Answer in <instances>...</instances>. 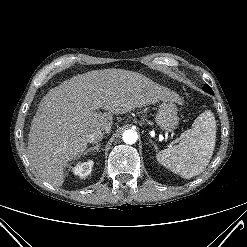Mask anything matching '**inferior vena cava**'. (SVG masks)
<instances>
[{"label": "inferior vena cava", "instance_id": "1", "mask_svg": "<svg viewBox=\"0 0 247 247\" xmlns=\"http://www.w3.org/2000/svg\"><path fill=\"white\" fill-rule=\"evenodd\" d=\"M105 132L101 129L94 130L87 136V141L89 143H97L104 138Z\"/></svg>", "mask_w": 247, "mask_h": 247}]
</instances>
